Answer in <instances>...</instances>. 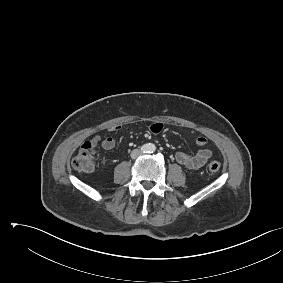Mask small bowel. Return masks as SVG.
Returning a JSON list of instances; mask_svg holds the SVG:
<instances>
[{
    "label": "small bowel",
    "mask_w": 283,
    "mask_h": 283,
    "mask_svg": "<svg viewBox=\"0 0 283 283\" xmlns=\"http://www.w3.org/2000/svg\"><path fill=\"white\" fill-rule=\"evenodd\" d=\"M162 127L163 126L161 123L156 122L151 125L150 130L153 133H158L162 130ZM119 129V126H114L111 127L109 131H118ZM91 141L94 144V147L100 143L104 150H111L116 145V140L113 137H106L102 139L101 136L96 135L91 139ZM197 145L200 147V149L194 154H189L182 151L177 152L175 154L176 161L190 170H198L203 167L208 159L212 156V151L206 147L207 140L205 138H198Z\"/></svg>",
    "instance_id": "1"
}]
</instances>
